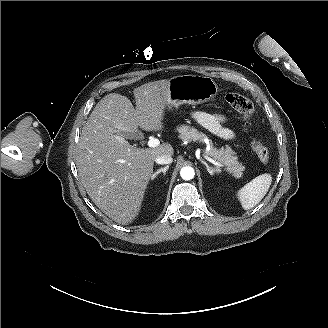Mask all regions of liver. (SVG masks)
<instances>
[{"label":"liver","instance_id":"obj_1","mask_svg":"<svg viewBox=\"0 0 328 328\" xmlns=\"http://www.w3.org/2000/svg\"><path fill=\"white\" fill-rule=\"evenodd\" d=\"M132 95L136 109L119 93L108 94L97 103L82 129L76 157L89 197L106 216L123 226L133 223L141 213L156 158L174 155L169 142L139 149L113 131L124 135L139 128L164 131L169 80L146 83L134 88Z\"/></svg>","mask_w":328,"mask_h":328}]
</instances>
